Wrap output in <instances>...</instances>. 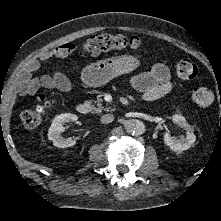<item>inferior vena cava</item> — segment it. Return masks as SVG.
<instances>
[{"instance_id":"inferior-vena-cava-1","label":"inferior vena cava","mask_w":221,"mask_h":221,"mask_svg":"<svg viewBox=\"0 0 221 221\" xmlns=\"http://www.w3.org/2000/svg\"><path fill=\"white\" fill-rule=\"evenodd\" d=\"M114 120V115L112 114H105L101 117V122L103 124L111 123Z\"/></svg>"}]
</instances>
